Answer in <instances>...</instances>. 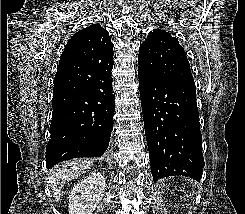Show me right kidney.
<instances>
[{
    "mask_svg": "<svg viewBox=\"0 0 245 214\" xmlns=\"http://www.w3.org/2000/svg\"><path fill=\"white\" fill-rule=\"evenodd\" d=\"M105 186V177L100 172L81 179L70 192L69 214H92L104 195Z\"/></svg>",
    "mask_w": 245,
    "mask_h": 214,
    "instance_id": "right-kidney-1",
    "label": "right kidney"
}]
</instances>
